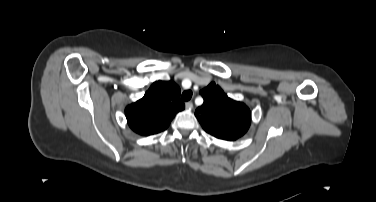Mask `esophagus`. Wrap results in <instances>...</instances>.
Instances as JSON below:
<instances>
[{
	"instance_id": "obj_1",
	"label": "esophagus",
	"mask_w": 376,
	"mask_h": 202,
	"mask_svg": "<svg viewBox=\"0 0 376 202\" xmlns=\"http://www.w3.org/2000/svg\"><path fill=\"white\" fill-rule=\"evenodd\" d=\"M185 105H186V108L189 110L193 108V103L191 101L186 102Z\"/></svg>"
}]
</instances>
